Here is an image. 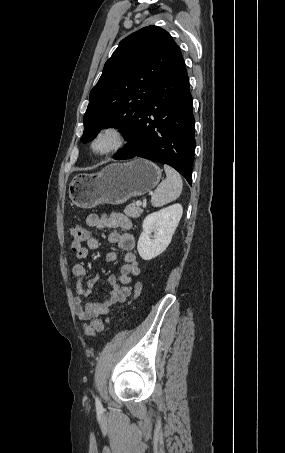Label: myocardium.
<instances>
[{
    "instance_id": "myocardium-1",
    "label": "myocardium",
    "mask_w": 285,
    "mask_h": 453,
    "mask_svg": "<svg viewBox=\"0 0 285 453\" xmlns=\"http://www.w3.org/2000/svg\"><path fill=\"white\" fill-rule=\"evenodd\" d=\"M104 136L111 137L113 139V144L107 150L100 152L96 149L95 145L96 142ZM126 143H127L126 129L118 124H108L96 131V133L93 135L90 141V148L95 155L105 157L116 153L117 151L122 149L126 145Z\"/></svg>"
}]
</instances>
